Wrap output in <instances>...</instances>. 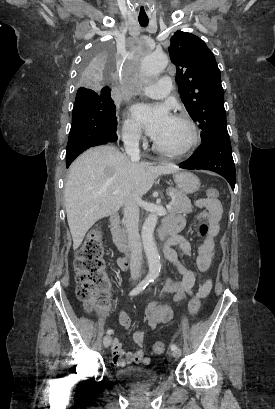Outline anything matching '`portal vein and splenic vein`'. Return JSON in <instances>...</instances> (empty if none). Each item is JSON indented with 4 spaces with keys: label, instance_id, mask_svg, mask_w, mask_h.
I'll use <instances>...</instances> for the list:
<instances>
[{
    "label": "portal vein and splenic vein",
    "instance_id": "1",
    "mask_svg": "<svg viewBox=\"0 0 275 409\" xmlns=\"http://www.w3.org/2000/svg\"><path fill=\"white\" fill-rule=\"evenodd\" d=\"M118 192H120V190H114L112 194H118ZM166 209H172V205H166Z\"/></svg>",
    "mask_w": 275,
    "mask_h": 409
}]
</instances>
